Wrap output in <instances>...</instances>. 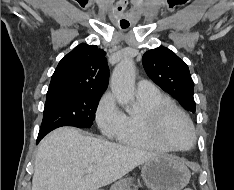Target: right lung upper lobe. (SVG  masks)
I'll use <instances>...</instances> for the list:
<instances>
[{
  "label": "right lung upper lobe",
  "instance_id": "1",
  "mask_svg": "<svg viewBox=\"0 0 234 190\" xmlns=\"http://www.w3.org/2000/svg\"><path fill=\"white\" fill-rule=\"evenodd\" d=\"M106 52L82 43L64 56L52 75L48 90L101 95L107 88L109 68Z\"/></svg>",
  "mask_w": 234,
  "mask_h": 190
}]
</instances>
